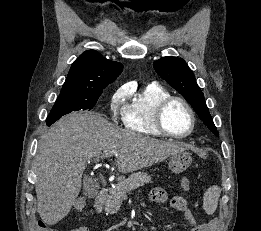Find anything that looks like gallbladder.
Masks as SVG:
<instances>
[{"label":"gallbladder","instance_id":"bac80fb5","mask_svg":"<svg viewBox=\"0 0 261 231\" xmlns=\"http://www.w3.org/2000/svg\"><path fill=\"white\" fill-rule=\"evenodd\" d=\"M100 187L99 185L96 183V181H94L91 178L86 177L84 179V192L86 196H92L97 194V192L99 191Z\"/></svg>","mask_w":261,"mask_h":231}]
</instances>
